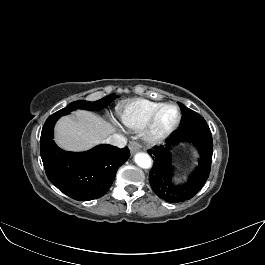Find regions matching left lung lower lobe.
<instances>
[{"instance_id": "0a47b994", "label": "left lung lower lobe", "mask_w": 265, "mask_h": 265, "mask_svg": "<svg viewBox=\"0 0 265 265\" xmlns=\"http://www.w3.org/2000/svg\"><path fill=\"white\" fill-rule=\"evenodd\" d=\"M184 141L192 142L199 151L198 165L185 182L176 184L171 149ZM148 153L154 159L149 182L155 194L167 202H184L195 196L209 177L213 154L211 131L206 121L200 120L187 128L177 129L164 146H155Z\"/></svg>"}]
</instances>
